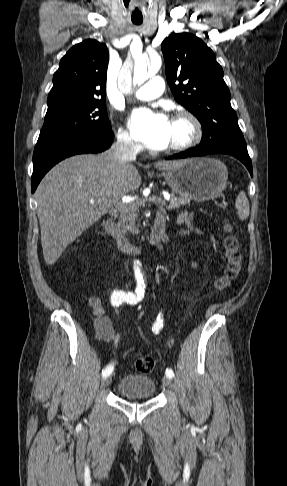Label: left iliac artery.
<instances>
[{
  "label": "left iliac artery",
  "instance_id": "1",
  "mask_svg": "<svg viewBox=\"0 0 287 486\" xmlns=\"http://www.w3.org/2000/svg\"><path fill=\"white\" fill-rule=\"evenodd\" d=\"M138 299H139V297H138V296H136V297L134 298V300H132V299H131V300H128L127 302H128V303H130V304H136V303L138 302V301H137ZM162 327H163V318H162V316L159 314V315H158V317H157L156 322H155V323H154V325H153L152 330H153V332L158 333V332H159V330H160ZM165 374H166V376H167V377H169V378H173V376H174V372H173V370H172V369H170V368H167V369H166Z\"/></svg>",
  "mask_w": 287,
  "mask_h": 486
}]
</instances>
